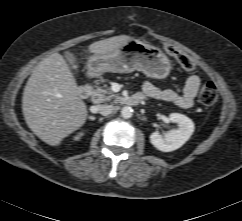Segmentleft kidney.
I'll list each match as a JSON object with an SVG mask.
<instances>
[{"instance_id": "left-kidney-1", "label": "left kidney", "mask_w": 242, "mask_h": 221, "mask_svg": "<svg viewBox=\"0 0 242 221\" xmlns=\"http://www.w3.org/2000/svg\"><path fill=\"white\" fill-rule=\"evenodd\" d=\"M169 120L177 123L178 129L171 130L164 136L159 132L150 135L151 144L162 152H171L183 146L195 129L193 121L183 114L172 113L169 115Z\"/></svg>"}]
</instances>
